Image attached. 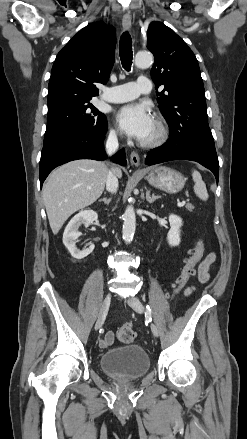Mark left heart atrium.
Segmentation results:
<instances>
[{
	"mask_svg": "<svg viewBox=\"0 0 247 439\" xmlns=\"http://www.w3.org/2000/svg\"><path fill=\"white\" fill-rule=\"evenodd\" d=\"M117 121L128 136L139 141L145 140L154 124L148 106L142 103L128 104L120 108Z\"/></svg>",
	"mask_w": 247,
	"mask_h": 439,
	"instance_id": "left-heart-atrium-1",
	"label": "left heart atrium"
}]
</instances>
